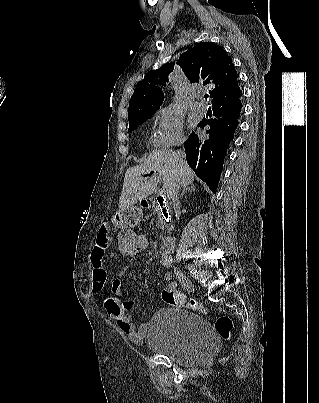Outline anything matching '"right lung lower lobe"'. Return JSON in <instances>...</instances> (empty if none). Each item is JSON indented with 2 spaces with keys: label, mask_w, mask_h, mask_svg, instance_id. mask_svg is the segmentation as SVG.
I'll return each instance as SVG.
<instances>
[{
  "label": "right lung lower lobe",
  "mask_w": 319,
  "mask_h": 403,
  "mask_svg": "<svg viewBox=\"0 0 319 403\" xmlns=\"http://www.w3.org/2000/svg\"><path fill=\"white\" fill-rule=\"evenodd\" d=\"M242 108V92L213 104L214 117L203 119L198 127H208L207 136L192 132L185 141L186 159L195 174L216 192L227 147L234 137Z\"/></svg>",
  "instance_id": "98d812e1"
}]
</instances>
